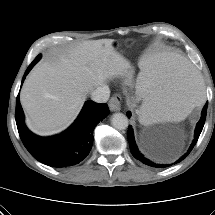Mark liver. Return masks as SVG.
Here are the masks:
<instances>
[{
  "mask_svg": "<svg viewBox=\"0 0 215 215\" xmlns=\"http://www.w3.org/2000/svg\"><path fill=\"white\" fill-rule=\"evenodd\" d=\"M113 44L112 39L78 43L32 69L20 92L30 130L42 136L64 130L90 91L108 79L128 75L129 64Z\"/></svg>",
  "mask_w": 215,
  "mask_h": 215,
  "instance_id": "liver-1",
  "label": "liver"
}]
</instances>
